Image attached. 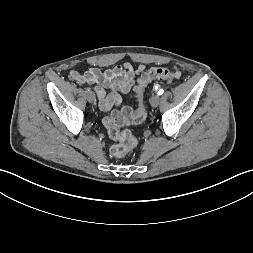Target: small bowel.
<instances>
[{
  "label": "small bowel",
  "instance_id": "obj_1",
  "mask_svg": "<svg viewBox=\"0 0 253 253\" xmlns=\"http://www.w3.org/2000/svg\"><path fill=\"white\" fill-rule=\"evenodd\" d=\"M144 70L145 65L143 64L134 68L129 62H126L104 71L96 67H90L84 73L72 71L70 78L79 83L93 85L99 97L100 109L109 111L121 103V94L128 93L132 89L136 77ZM106 89L109 90L108 94Z\"/></svg>",
  "mask_w": 253,
  "mask_h": 253
}]
</instances>
